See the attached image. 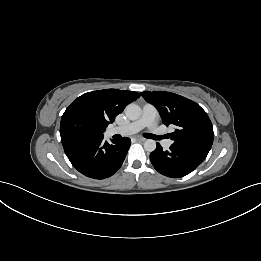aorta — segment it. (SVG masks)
Here are the masks:
<instances>
[{"label":"aorta","mask_w":261,"mask_h":261,"mask_svg":"<svg viewBox=\"0 0 261 261\" xmlns=\"http://www.w3.org/2000/svg\"><path fill=\"white\" fill-rule=\"evenodd\" d=\"M142 110L137 104L131 103L125 108V115L130 120H137L140 118ZM144 149L148 152H152L156 149V142L152 139H147L144 142Z\"/></svg>","instance_id":"1"}]
</instances>
